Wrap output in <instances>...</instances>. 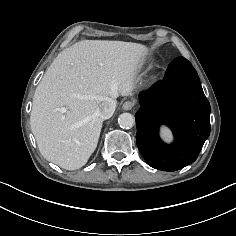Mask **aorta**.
<instances>
[{
  "instance_id": "obj_1",
  "label": "aorta",
  "mask_w": 236,
  "mask_h": 236,
  "mask_svg": "<svg viewBox=\"0 0 236 236\" xmlns=\"http://www.w3.org/2000/svg\"><path fill=\"white\" fill-rule=\"evenodd\" d=\"M118 124L121 128L129 129L134 126L135 118L131 113H122L118 118Z\"/></svg>"
}]
</instances>
